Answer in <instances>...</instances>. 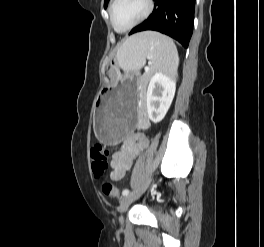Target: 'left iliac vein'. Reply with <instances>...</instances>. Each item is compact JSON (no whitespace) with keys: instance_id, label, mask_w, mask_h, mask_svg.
<instances>
[{"instance_id":"left-iliac-vein-1","label":"left iliac vein","mask_w":264,"mask_h":247,"mask_svg":"<svg viewBox=\"0 0 264 247\" xmlns=\"http://www.w3.org/2000/svg\"><path fill=\"white\" fill-rule=\"evenodd\" d=\"M150 184V179L147 180L145 183H143L136 191L125 195L121 201L119 206V212L121 213V216L119 218L120 222H123L122 213L125 211V209L133 202L135 199H137L144 191L148 188Z\"/></svg>"}]
</instances>
